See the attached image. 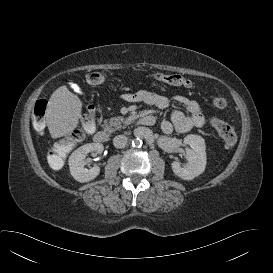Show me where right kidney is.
Returning <instances> with one entry per match:
<instances>
[{"mask_svg":"<svg viewBox=\"0 0 273 273\" xmlns=\"http://www.w3.org/2000/svg\"><path fill=\"white\" fill-rule=\"evenodd\" d=\"M103 145L100 143H88L76 149L69 157V169L72 177L81 183L89 182L100 173V167L94 166L86 169L85 157L90 152L102 153Z\"/></svg>","mask_w":273,"mask_h":273,"instance_id":"1","label":"right kidney"}]
</instances>
